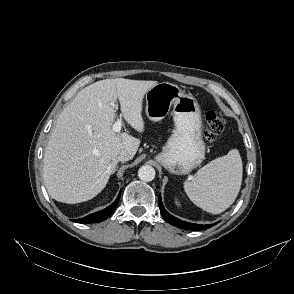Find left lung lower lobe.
I'll return each instance as SVG.
<instances>
[{"label": "left lung lower lobe", "instance_id": "left-lung-lower-lobe-1", "mask_svg": "<svg viewBox=\"0 0 294 294\" xmlns=\"http://www.w3.org/2000/svg\"><path fill=\"white\" fill-rule=\"evenodd\" d=\"M158 203H159V208H160V212L162 214V216L164 217V219L179 228L182 229H188V230H205L207 228H210L212 226H214L215 224H209V225H199V224H192V223H188L182 220H179L177 218H175L174 216L170 215L163 207L162 205V201H161V196L159 195L158 198Z\"/></svg>", "mask_w": 294, "mask_h": 294}]
</instances>
